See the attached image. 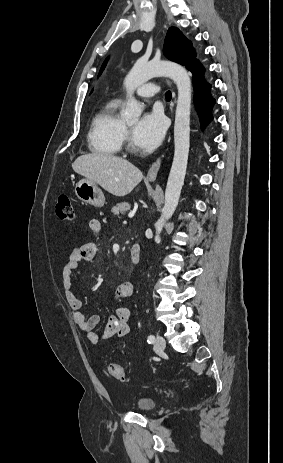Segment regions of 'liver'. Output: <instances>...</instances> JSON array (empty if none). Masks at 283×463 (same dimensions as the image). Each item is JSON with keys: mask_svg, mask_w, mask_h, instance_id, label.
Listing matches in <instances>:
<instances>
[{"mask_svg": "<svg viewBox=\"0 0 283 463\" xmlns=\"http://www.w3.org/2000/svg\"><path fill=\"white\" fill-rule=\"evenodd\" d=\"M72 168L119 197L129 194L143 178L140 169L126 159L105 153L81 155L74 161Z\"/></svg>", "mask_w": 283, "mask_h": 463, "instance_id": "obj_1", "label": "liver"}]
</instances>
